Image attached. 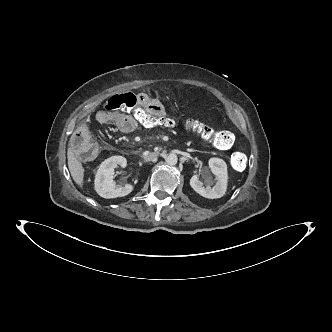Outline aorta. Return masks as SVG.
Wrapping results in <instances>:
<instances>
[{
	"label": "aorta",
	"mask_w": 332,
	"mask_h": 332,
	"mask_svg": "<svg viewBox=\"0 0 332 332\" xmlns=\"http://www.w3.org/2000/svg\"><path fill=\"white\" fill-rule=\"evenodd\" d=\"M165 161L168 165H176L178 162L177 155L174 153H170L166 156Z\"/></svg>",
	"instance_id": "762f6f07"
}]
</instances>
